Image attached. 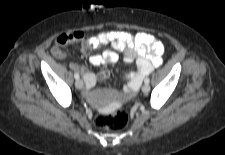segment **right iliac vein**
<instances>
[{"instance_id": "obj_1", "label": "right iliac vein", "mask_w": 225, "mask_h": 155, "mask_svg": "<svg viewBox=\"0 0 225 155\" xmlns=\"http://www.w3.org/2000/svg\"><path fill=\"white\" fill-rule=\"evenodd\" d=\"M75 87L77 89H81L83 87V81L81 79H77L75 82Z\"/></svg>"}]
</instances>
